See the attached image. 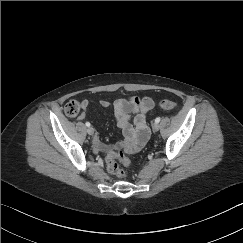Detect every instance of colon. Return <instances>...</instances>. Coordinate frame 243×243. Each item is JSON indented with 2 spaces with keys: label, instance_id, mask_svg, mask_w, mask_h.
Segmentation results:
<instances>
[{
  "label": "colon",
  "instance_id": "colon-1",
  "mask_svg": "<svg viewBox=\"0 0 243 243\" xmlns=\"http://www.w3.org/2000/svg\"><path fill=\"white\" fill-rule=\"evenodd\" d=\"M160 107L166 110H173L177 108V103L173 100L169 99H163L159 103ZM81 110V105L76 100H71L67 102L64 106V113L68 117H76ZM117 160L121 163L127 165L129 164L128 157L124 154L122 151H116L112 152L108 155L106 162H107V168L108 170L120 177H125L127 175V172L121 168H119L117 164Z\"/></svg>",
  "mask_w": 243,
  "mask_h": 243
}]
</instances>
